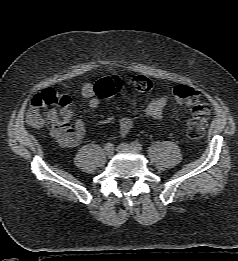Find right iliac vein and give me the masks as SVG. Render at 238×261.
Instances as JSON below:
<instances>
[{
	"label": "right iliac vein",
	"instance_id": "right-iliac-vein-1",
	"mask_svg": "<svg viewBox=\"0 0 238 261\" xmlns=\"http://www.w3.org/2000/svg\"><path fill=\"white\" fill-rule=\"evenodd\" d=\"M105 155H106L108 158H111V157L114 155V149L111 148L110 151H107V150L105 149Z\"/></svg>",
	"mask_w": 238,
	"mask_h": 261
}]
</instances>
